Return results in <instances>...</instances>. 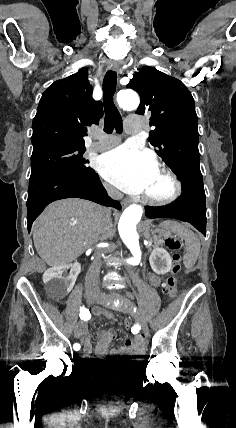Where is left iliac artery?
I'll return each mask as SVG.
<instances>
[{"mask_svg": "<svg viewBox=\"0 0 236 428\" xmlns=\"http://www.w3.org/2000/svg\"><path fill=\"white\" fill-rule=\"evenodd\" d=\"M114 303H115V306H117L119 304V301H117V303L116 302H114Z\"/></svg>", "mask_w": 236, "mask_h": 428, "instance_id": "obj_1", "label": "left iliac artery"}]
</instances>
